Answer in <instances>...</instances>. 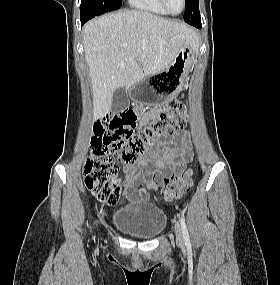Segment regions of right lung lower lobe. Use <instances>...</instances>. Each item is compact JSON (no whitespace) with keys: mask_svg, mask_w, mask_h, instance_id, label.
Instances as JSON below:
<instances>
[{"mask_svg":"<svg viewBox=\"0 0 280 285\" xmlns=\"http://www.w3.org/2000/svg\"><path fill=\"white\" fill-rule=\"evenodd\" d=\"M80 20H81V24L83 25L85 22H87L88 20H86V19H81L80 18Z\"/></svg>","mask_w":280,"mask_h":285,"instance_id":"right-lung-lower-lobe-1","label":"right lung lower lobe"}]
</instances>
